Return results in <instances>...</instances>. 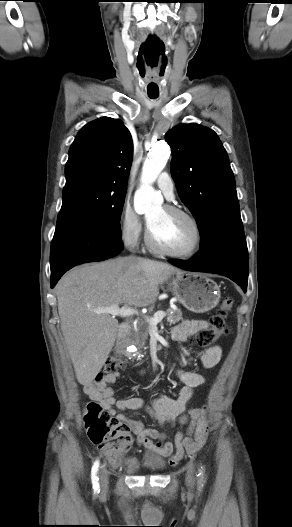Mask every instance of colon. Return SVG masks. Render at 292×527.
Wrapping results in <instances>:
<instances>
[{"label": "colon", "instance_id": "obj_1", "mask_svg": "<svg viewBox=\"0 0 292 527\" xmlns=\"http://www.w3.org/2000/svg\"><path fill=\"white\" fill-rule=\"evenodd\" d=\"M232 308V300L226 299L218 312L212 316L210 326L200 330L194 341L201 346H210L219 338L228 334L230 328L226 318ZM125 367V362L118 354L108 358L102 371L97 375V380L114 374ZM84 425L90 441L104 452L121 458L132 445L130 427L109 414L98 401L89 402L84 410Z\"/></svg>", "mask_w": 292, "mask_h": 527}]
</instances>
